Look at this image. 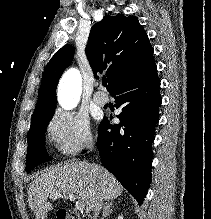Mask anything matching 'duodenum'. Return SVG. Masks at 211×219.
<instances>
[{
	"mask_svg": "<svg viewBox=\"0 0 211 219\" xmlns=\"http://www.w3.org/2000/svg\"><path fill=\"white\" fill-rule=\"evenodd\" d=\"M69 213V219H82L79 216H77L74 212L67 211Z\"/></svg>",
	"mask_w": 211,
	"mask_h": 219,
	"instance_id": "duodenum-1",
	"label": "duodenum"
}]
</instances>
